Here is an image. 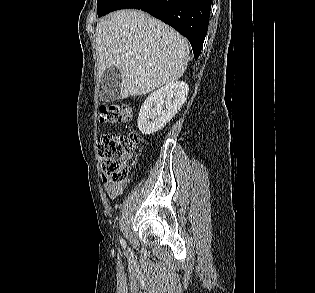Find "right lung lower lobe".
<instances>
[{
    "instance_id": "obj_1",
    "label": "right lung lower lobe",
    "mask_w": 315,
    "mask_h": 293,
    "mask_svg": "<svg viewBox=\"0 0 315 293\" xmlns=\"http://www.w3.org/2000/svg\"><path fill=\"white\" fill-rule=\"evenodd\" d=\"M125 8L146 11L172 26L189 40L197 60L208 29L211 0H112L103 15Z\"/></svg>"
}]
</instances>
